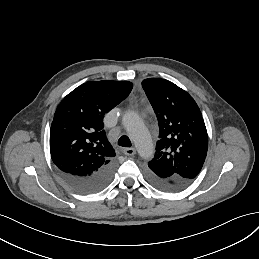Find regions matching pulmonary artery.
<instances>
[{
	"label": "pulmonary artery",
	"mask_w": 259,
	"mask_h": 259,
	"mask_svg": "<svg viewBox=\"0 0 259 259\" xmlns=\"http://www.w3.org/2000/svg\"><path fill=\"white\" fill-rule=\"evenodd\" d=\"M122 124L129 137L135 139L136 125L132 122L131 117L125 116Z\"/></svg>",
	"instance_id": "e3ab8cb5"
}]
</instances>
